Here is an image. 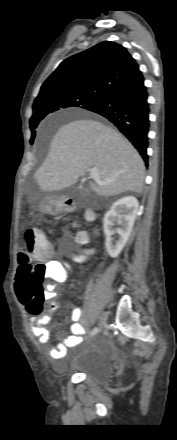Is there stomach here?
<instances>
[{
    "label": "stomach",
    "instance_id": "stomach-1",
    "mask_svg": "<svg viewBox=\"0 0 177 440\" xmlns=\"http://www.w3.org/2000/svg\"><path fill=\"white\" fill-rule=\"evenodd\" d=\"M38 208L44 213H55L60 210V204L54 197H48L39 202Z\"/></svg>",
    "mask_w": 177,
    "mask_h": 440
}]
</instances>
